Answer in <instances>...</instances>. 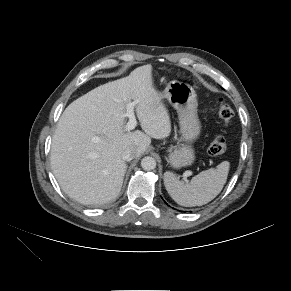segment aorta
Wrapping results in <instances>:
<instances>
[{
	"label": "aorta",
	"instance_id": "aorta-1",
	"mask_svg": "<svg viewBox=\"0 0 291 291\" xmlns=\"http://www.w3.org/2000/svg\"><path fill=\"white\" fill-rule=\"evenodd\" d=\"M141 166L144 170H152L156 167V160L153 157L147 156L141 160Z\"/></svg>",
	"mask_w": 291,
	"mask_h": 291
}]
</instances>
